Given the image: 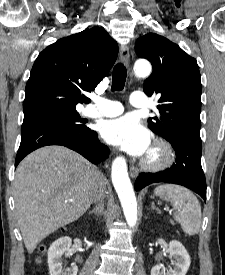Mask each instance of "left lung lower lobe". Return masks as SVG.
<instances>
[{"mask_svg":"<svg viewBox=\"0 0 225 275\" xmlns=\"http://www.w3.org/2000/svg\"><path fill=\"white\" fill-rule=\"evenodd\" d=\"M170 143L176 152V162L165 171L141 173L136 179L135 190L156 182L174 183L192 189L206 201V181L201 166V139L179 138Z\"/></svg>","mask_w":225,"mask_h":275,"instance_id":"0a47b994","label":"left lung lower lobe"}]
</instances>
